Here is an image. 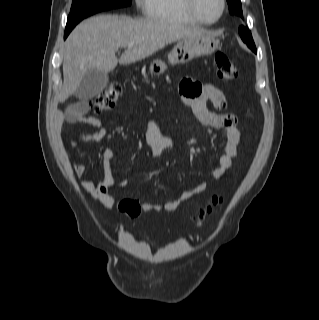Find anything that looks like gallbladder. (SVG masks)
<instances>
[{"instance_id": "1", "label": "gallbladder", "mask_w": 319, "mask_h": 320, "mask_svg": "<svg viewBox=\"0 0 319 320\" xmlns=\"http://www.w3.org/2000/svg\"><path fill=\"white\" fill-rule=\"evenodd\" d=\"M108 75L98 70L85 73L74 95L80 100H89L98 95L107 85Z\"/></svg>"}]
</instances>
